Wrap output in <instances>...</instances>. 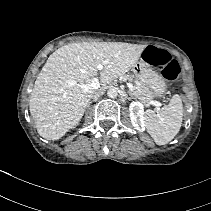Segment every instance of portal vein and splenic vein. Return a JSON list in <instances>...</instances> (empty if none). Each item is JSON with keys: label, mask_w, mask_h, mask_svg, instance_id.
Returning a JSON list of instances; mask_svg holds the SVG:
<instances>
[{"label": "portal vein and splenic vein", "mask_w": 211, "mask_h": 211, "mask_svg": "<svg viewBox=\"0 0 211 211\" xmlns=\"http://www.w3.org/2000/svg\"><path fill=\"white\" fill-rule=\"evenodd\" d=\"M98 70H102L103 69V65L102 64H98L97 66ZM73 84V83H71ZM127 87L130 89V91L133 90L134 86L131 83H126ZM100 86L99 84V80L96 77H93L91 79V83L88 85H85L84 88L85 89H89V88H93V89H98ZM148 104L150 105H154L156 107H160L161 103L159 101H149Z\"/></svg>", "instance_id": "portal-vein-and-splenic-vein-1"}]
</instances>
